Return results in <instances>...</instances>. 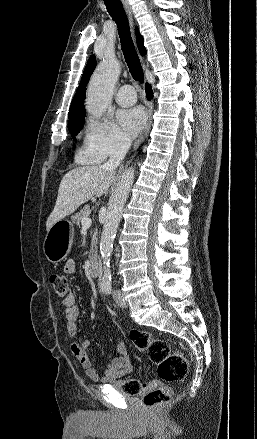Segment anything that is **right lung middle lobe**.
Listing matches in <instances>:
<instances>
[{
    "instance_id": "dd1d6c3e",
    "label": "right lung middle lobe",
    "mask_w": 257,
    "mask_h": 439,
    "mask_svg": "<svg viewBox=\"0 0 257 439\" xmlns=\"http://www.w3.org/2000/svg\"><path fill=\"white\" fill-rule=\"evenodd\" d=\"M69 124L68 127L71 130L72 137L75 139V136L80 132L83 128V124L85 122L84 114H68Z\"/></svg>"
}]
</instances>
